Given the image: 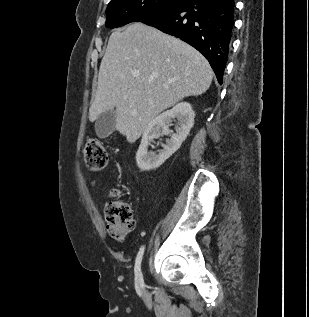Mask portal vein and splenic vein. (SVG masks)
<instances>
[{
    "label": "portal vein and splenic vein",
    "mask_w": 309,
    "mask_h": 317,
    "mask_svg": "<svg viewBox=\"0 0 309 317\" xmlns=\"http://www.w3.org/2000/svg\"><path fill=\"white\" fill-rule=\"evenodd\" d=\"M133 76L134 77H138L139 76V72L138 71L133 72Z\"/></svg>",
    "instance_id": "18ae733b"
}]
</instances>
